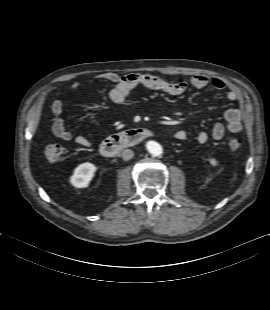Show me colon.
I'll list each match as a JSON object with an SVG mask.
<instances>
[{"instance_id":"colon-1","label":"colon","mask_w":270,"mask_h":310,"mask_svg":"<svg viewBox=\"0 0 270 310\" xmlns=\"http://www.w3.org/2000/svg\"><path fill=\"white\" fill-rule=\"evenodd\" d=\"M228 147L232 151H237L241 147V141L238 138L232 137L228 140ZM65 154V149L60 144H50L45 149V156L49 161L57 162L62 160Z\"/></svg>"}]
</instances>
